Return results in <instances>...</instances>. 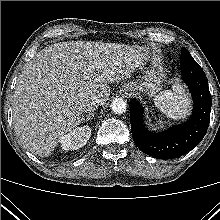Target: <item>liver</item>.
<instances>
[{"label":"liver","instance_id":"6515ba94","mask_svg":"<svg viewBox=\"0 0 220 220\" xmlns=\"http://www.w3.org/2000/svg\"><path fill=\"white\" fill-rule=\"evenodd\" d=\"M143 59L140 47L69 41L38 52L25 65L13 95L16 135L31 153L48 157L83 122L82 104H105L109 83L130 78Z\"/></svg>","mask_w":220,"mask_h":220}]
</instances>
